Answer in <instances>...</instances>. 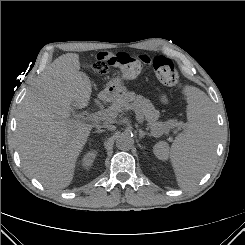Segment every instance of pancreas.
<instances>
[{
	"label": "pancreas",
	"instance_id": "cf45deb5",
	"mask_svg": "<svg viewBox=\"0 0 245 245\" xmlns=\"http://www.w3.org/2000/svg\"><path fill=\"white\" fill-rule=\"evenodd\" d=\"M129 109L138 110L146 119L151 134L159 137L164 133H168L169 128H180L181 123L176 120H169L166 123L158 122L159 111H157L150 100L136 95L134 92L122 93L106 111L109 116L108 122H114L117 115Z\"/></svg>",
	"mask_w": 245,
	"mask_h": 245
}]
</instances>
